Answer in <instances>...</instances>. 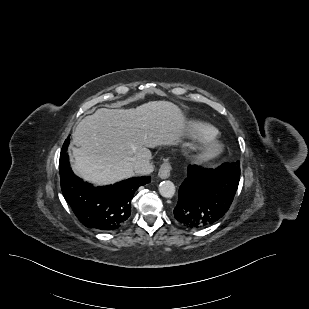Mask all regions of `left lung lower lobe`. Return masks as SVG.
I'll list each match as a JSON object with an SVG mask.
<instances>
[{
    "instance_id": "obj_1",
    "label": "left lung lower lobe",
    "mask_w": 309,
    "mask_h": 309,
    "mask_svg": "<svg viewBox=\"0 0 309 309\" xmlns=\"http://www.w3.org/2000/svg\"><path fill=\"white\" fill-rule=\"evenodd\" d=\"M240 181V169L224 163L216 169H187L181 184L175 218L185 227L200 229L221 219L228 211Z\"/></svg>"
}]
</instances>
